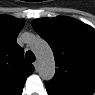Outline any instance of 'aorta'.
Instances as JSON below:
<instances>
[{
	"instance_id": "obj_1",
	"label": "aorta",
	"mask_w": 95,
	"mask_h": 95,
	"mask_svg": "<svg viewBox=\"0 0 95 95\" xmlns=\"http://www.w3.org/2000/svg\"><path fill=\"white\" fill-rule=\"evenodd\" d=\"M26 39L36 55L39 76L45 81L51 80L55 74V59L49 44L32 34H26Z\"/></svg>"
}]
</instances>
